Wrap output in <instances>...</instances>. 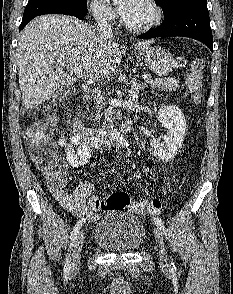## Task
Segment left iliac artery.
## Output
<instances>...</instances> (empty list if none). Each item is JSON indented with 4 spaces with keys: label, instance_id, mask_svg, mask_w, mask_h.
I'll list each match as a JSON object with an SVG mask.
<instances>
[{
    "label": "left iliac artery",
    "instance_id": "obj_1",
    "mask_svg": "<svg viewBox=\"0 0 233 294\" xmlns=\"http://www.w3.org/2000/svg\"><path fill=\"white\" fill-rule=\"evenodd\" d=\"M153 222H154V224H155L160 230L163 231V233H164L165 235H167V233H166V229H165V226H164L163 222L161 221V219H159L158 217H154V218H153ZM171 267H172V268H176V267H175V264H174L173 261H171Z\"/></svg>",
    "mask_w": 233,
    "mask_h": 294
}]
</instances>
